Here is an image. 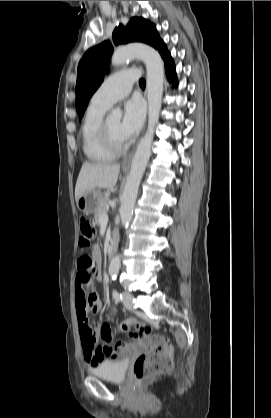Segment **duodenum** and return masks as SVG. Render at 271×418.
Segmentation results:
<instances>
[{
	"mask_svg": "<svg viewBox=\"0 0 271 418\" xmlns=\"http://www.w3.org/2000/svg\"><path fill=\"white\" fill-rule=\"evenodd\" d=\"M117 242H118V237H117V235H116V234H114V235L112 236V239H111V242H110V245H109V249H108V251H109V255H110L111 257L114 255V253H115V251H116V248H117Z\"/></svg>",
	"mask_w": 271,
	"mask_h": 418,
	"instance_id": "410a0bca",
	"label": "duodenum"
}]
</instances>
